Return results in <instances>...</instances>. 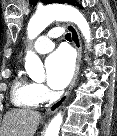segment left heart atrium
<instances>
[{
  "mask_svg": "<svg viewBox=\"0 0 117 136\" xmlns=\"http://www.w3.org/2000/svg\"><path fill=\"white\" fill-rule=\"evenodd\" d=\"M75 67L73 53L68 48H59L46 60L47 81L51 88L60 90L70 82Z\"/></svg>",
  "mask_w": 117,
  "mask_h": 136,
  "instance_id": "obj_1",
  "label": "left heart atrium"
}]
</instances>
